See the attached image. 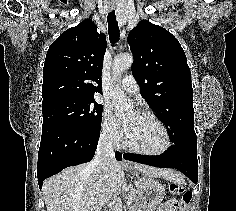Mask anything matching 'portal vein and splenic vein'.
<instances>
[{"instance_id": "obj_1", "label": "portal vein and splenic vein", "mask_w": 236, "mask_h": 211, "mask_svg": "<svg viewBox=\"0 0 236 211\" xmlns=\"http://www.w3.org/2000/svg\"><path fill=\"white\" fill-rule=\"evenodd\" d=\"M115 201H116V206H118V207H120V208H122V201H121V199H114ZM127 205H130L131 204V199H129V200H127Z\"/></svg>"}]
</instances>
